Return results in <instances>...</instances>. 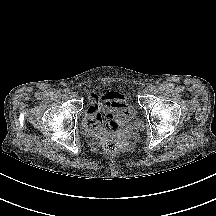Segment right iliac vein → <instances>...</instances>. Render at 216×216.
<instances>
[{"mask_svg": "<svg viewBox=\"0 0 216 216\" xmlns=\"http://www.w3.org/2000/svg\"><path fill=\"white\" fill-rule=\"evenodd\" d=\"M69 96H70L71 98H74V97H76V93H75V92H71Z\"/></svg>", "mask_w": 216, "mask_h": 216, "instance_id": "right-iliac-vein-1", "label": "right iliac vein"}]
</instances>
